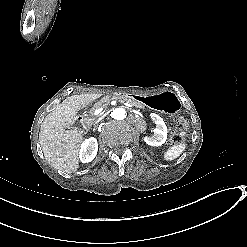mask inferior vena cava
<instances>
[{
  "label": "inferior vena cava",
  "instance_id": "inferior-vena-cava-1",
  "mask_svg": "<svg viewBox=\"0 0 247 247\" xmlns=\"http://www.w3.org/2000/svg\"><path fill=\"white\" fill-rule=\"evenodd\" d=\"M103 118H104V116H101L100 118H98L97 121H96V123L101 122Z\"/></svg>",
  "mask_w": 247,
  "mask_h": 247
}]
</instances>
